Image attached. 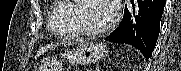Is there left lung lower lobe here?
<instances>
[{"mask_svg":"<svg viewBox=\"0 0 181 71\" xmlns=\"http://www.w3.org/2000/svg\"><path fill=\"white\" fill-rule=\"evenodd\" d=\"M139 12L135 20L130 21L131 15L125 8V13L120 26L112 32L107 40L114 43H126L139 49L148 60L152 56L159 31L160 20L163 14L166 0H137Z\"/></svg>","mask_w":181,"mask_h":71,"instance_id":"1","label":"left lung lower lobe"}]
</instances>
